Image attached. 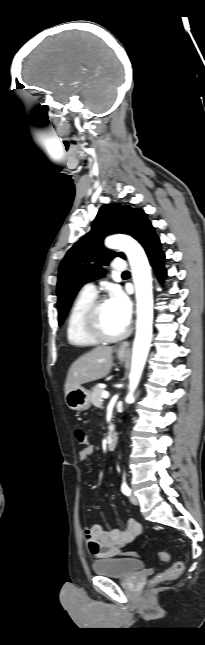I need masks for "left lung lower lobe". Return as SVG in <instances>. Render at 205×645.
<instances>
[{
  "instance_id": "1",
  "label": "left lung lower lobe",
  "mask_w": 205,
  "mask_h": 645,
  "mask_svg": "<svg viewBox=\"0 0 205 645\" xmlns=\"http://www.w3.org/2000/svg\"><path fill=\"white\" fill-rule=\"evenodd\" d=\"M140 244L145 249L147 256L154 271L160 281L166 276V270L163 263L165 261V254L161 250V243L157 237L154 228L151 226L146 234L143 236Z\"/></svg>"
}]
</instances>
